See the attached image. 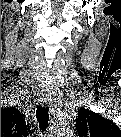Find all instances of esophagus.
<instances>
[{
  "instance_id": "34e87169",
  "label": "esophagus",
  "mask_w": 121,
  "mask_h": 137,
  "mask_svg": "<svg viewBox=\"0 0 121 137\" xmlns=\"http://www.w3.org/2000/svg\"><path fill=\"white\" fill-rule=\"evenodd\" d=\"M49 101H50V92L45 91L44 94L40 97V102L44 106L47 105Z\"/></svg>"
}]
</instances>
